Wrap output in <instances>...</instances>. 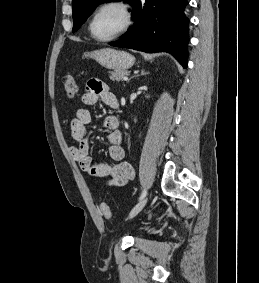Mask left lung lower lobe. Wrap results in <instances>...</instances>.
Returning <instances> with one entry per match:
<instances>
[{
    "label": "left lung lower lobe",
    "mask_w": 259,
    "mask_h": 283,
    "mask_svg": "<svg viewBox=\"0 0 259 283\" xmlns=\"http://www.w3.org/2000/svg\"><path fill=\"white\" fill-rule=\"evenodd\" d=\"M186 5L187 0H134L133 27L110 45L144 52H168L186 68L189 41Z\"/></svg>",
    "instance_id": "0a47b994"
}]
</instances>
